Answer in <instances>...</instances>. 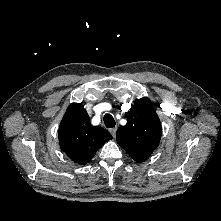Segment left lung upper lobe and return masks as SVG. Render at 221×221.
<instances>
[{"label":"left lung upper lobe","mask_w":221,"mask_h":221,"mask_svg":"<svg viewBox=\"0 0 221 221\" xmlns=\"http://www.w3.org/2000/svg\"><path fill=\"white\" fill-rule=\"evenodd\" d=\"M127 124L117 129L118 144L137 162L149 158L159 145L161 123L152 102L144 97L130 108Z\"/></svg>","instance_id":"left-lung-upper-lobe-1"}]
</instances>
